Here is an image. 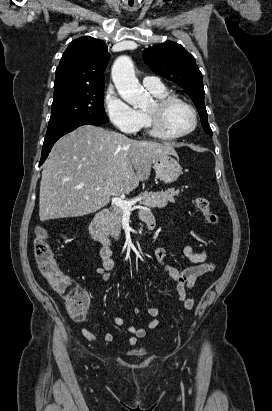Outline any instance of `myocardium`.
<instances>
[{
  "mask_svg": "<svg viewBox=\"0 0 272 411\" xmlns=\"http://www.w3.org/2000/svg\"><path fill=\"white\" fill-rule=\"evenodd\" d=\"M176 104L185 106L192 114L193 122L191 127L182 133H169L163 127V118L170 107ZM150 133L161 140H177L190 135L198 125V115L195 108L186 100L176 96H166L156 98L154 108L146 110L145 113Z\"/></svg>",
  "mask_w": 272,
  "mask_h": 411,
  "instance_id": "f54148a6",
  "label": "myocardium"
}]
</instances>
